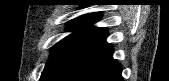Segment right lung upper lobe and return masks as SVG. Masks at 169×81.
Returning a JSON list of instances; mask_svg holds the SVG:
<instances>
[{"instance_id":"cb5924a9","label":"right lung upper lobe","mask_w":169,"mask_h":81,"mask_svg":"<svg viewBox=\"0 0 169 81\" xmlns=\"http://www.w3.org/2000/svg\"><path fill=\"white\" fill-rule=\"evenodd\" d=\"M100 17H101V13L95 12V13H89V14L82 15L76 19L83 20L86 23H92V22L97 21Z\"/></svg>"}]
</instances>
